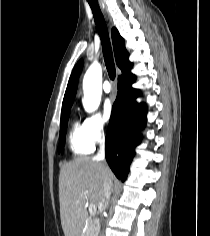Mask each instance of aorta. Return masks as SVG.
Returning <instances> with one entry per match:
<instances>
[{
  "instance_id": "1",
  "label": "aorta",
  "mask_w": 210,
  "mask_h": 236,
  "mask_svg": "<svg viewBox=\"0 0 210 236\" xmlns=\"http://www.w3.org/2000/svg\"><path fill=\"white\" fill-rule=\"evenodd\" d=\"M84 109L91 113L95 111L102 96V67L98 62H93L83 78Z\"/></svg>"
}]
</instances>
